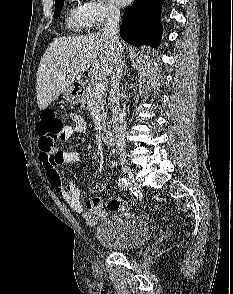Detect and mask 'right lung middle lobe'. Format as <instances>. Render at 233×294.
<instances>
[{
  "label": "right lung middle lobe",
  "instance_id": "obj_1",
  "mask_svg": "<svg viewBox=\"0 0 233 294\" xmlns=\"http://www.w3.org/2000/svg\"><path fill=\"white\" fill-rule=\"evenodd\" d=\"M64 1L65 0H55L54 18H57L60 15L61 10H62L63 5H64Z\"/></svg>",
  "mask_w": 233,
  "mask_h": 294
}]
</instances>
